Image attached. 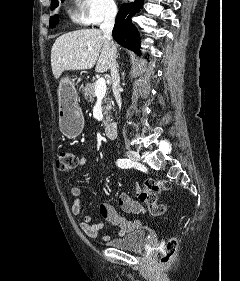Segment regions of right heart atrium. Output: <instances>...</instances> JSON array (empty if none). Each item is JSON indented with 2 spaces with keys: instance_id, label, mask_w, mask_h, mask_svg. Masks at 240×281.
Listing matches in <instances>:
<instances>
[{
  "instance_id": "right-heart-atrium-1",
  "label": "right heart atrium",
  "mask_w": 240,
  "mask_h": 281,
  "mask_svg": "<svg viewBox=\"0 0 240 281\" xmlns=\"http://www.w3.org/2000/svg\"><path fill=\"white\" fill-rule=\"evenodd\" d=\"M118 7L115 0H84L85 16L90 24L98 25L114 18Z\"/></svg>"
}]
</instances>
